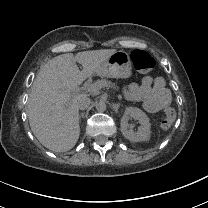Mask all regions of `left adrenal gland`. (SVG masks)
<instances>
[{"mask_svg":"<svg viewBox=\"0 0 208 208\" xmlns=\"http://www.w3.org/2000/svg\"><path fill=\"white\" fill-rule=\"evenodd\" d=\"M120 106H121L120 104L112 105L111 109L114 110L115 112H118Z\"/></svg>","mask_w":208,"mask_h":208,"instance_id":"left-adrenal-gland-1","label":"left adrenal gland"}]
</instances>
